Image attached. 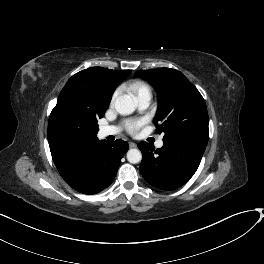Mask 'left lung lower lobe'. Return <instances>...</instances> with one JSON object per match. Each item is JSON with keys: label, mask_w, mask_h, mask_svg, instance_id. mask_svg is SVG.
Listing matches in <instances>:
<instances>
[{"label": "left lung lower lobe", "mask_w": 264, "mask_h": 264, "mask_svg": "<svg viewBox=\"0 0 264 264\" xmlns=\"http://www.w3.org/2000/svg\"><path fill=\"white\" fill-rule=\"evenodd\" d=\"M163 143L157 150L146 142L138 144L142 152L140 172L153 187L174 190L194 175L207 143L196 137L163 140Z\"/></svg>", "instance_id": "1"}]
</instances>
